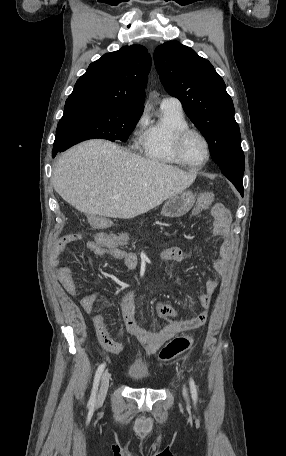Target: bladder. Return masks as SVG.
<instances>
[{"mask_svg":"<svg viewBox=\"0 0 286 456\" xmlns=\"http://www.w3.org/2000/svg\"><path fill=\"white\" fill-rule=\"evenodd\" d=\"M128 375L134 382H144L146 378V369L144 365L140 363H133L129 368Z\"/></svg>","mask_w":286,"mask_h":456,"instance_id":"1","label":"bladder"}]
</instances>
